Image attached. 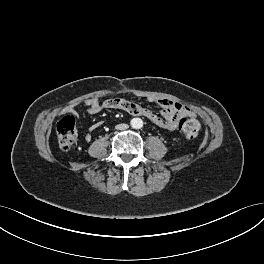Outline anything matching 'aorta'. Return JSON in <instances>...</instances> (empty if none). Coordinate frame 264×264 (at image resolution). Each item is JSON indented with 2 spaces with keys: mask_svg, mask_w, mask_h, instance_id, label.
I'll use <instances>...</instances> for the list:
<instances>
[{
  "mask_svg": "<svg viewBox=\"0 0 264 264\" xmlns=\"http://www.w3.org/2000/svg\"><path fill=\"white\" fill-rule=\"evenodd\" d=\"M132 128L140 129L143 127V120L141 118H133L130 122Z\"/></svg>",
  "mask_w": 264,
  "mask_h": 264,
  "instance_id": "762f6f07",
  "label": "aorta"
}]
</instances>
